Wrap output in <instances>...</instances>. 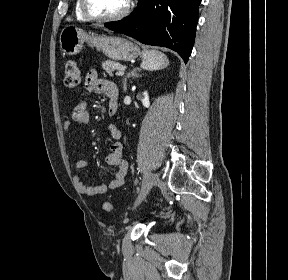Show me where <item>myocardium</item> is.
<instances>
[{"label": "myocardium", "mask_w": 288, "mask_h": 280, "mask_svg": "<svg viewBox=\"0 0 288 280\" xmlns=\"http://www.w3.org/2000/svg\"><path fill=\"white\" fill-rule=\"evenodd\" d=\"M82 13L90 20L100 22L117 21L128 15L131 9V2L128 0L126 6L120 12L114 15H101L96 13L90 6L89 0H79Z\"/></svg>", "instance_id": "obj_1"}]
</instances>
